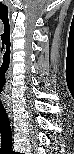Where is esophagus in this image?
<instances>
[{"mask_svg":"<svg viewBox=\"0 0 74 154\" xmlns=\"http://www.w3.org/2000/svg\"><path fill=\"white\" fill-rule=\"evenodd\" d=\"M6 110H7L8 114H9V117L12 119V115H11V109H9V108H6Z\"/></svg>","mask_w":74,"mask_h":154,"instance_id":"obj_1","label":"esophagus"}]
</instances>
